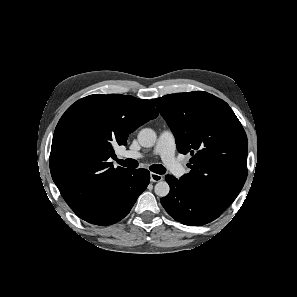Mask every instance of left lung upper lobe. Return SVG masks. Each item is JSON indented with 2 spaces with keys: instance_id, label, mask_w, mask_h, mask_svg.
<instances>
[{
  "instance_id": "1",
  "label": "left lung upper lobe",
  "mask_w": 297,
  "mask_h": 297,
  "mask_svg": "<svg viewBox=\"0 0 297 297\" xmlns=\"http://www.w3.org/2000/svg\"><path fill=\"white\" fill-rule=\"evenodd\" d=\"M167 121L180 153H190V173L181 183L223 213L247 178L248 142L229 105L204 91L152 99Z\"/></svg>"
}]
</instances>
